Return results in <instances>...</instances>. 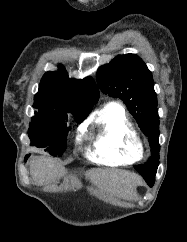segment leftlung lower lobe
Returning <instances> with one entry per match:
<instances>
[{
  "label": "left lung lower lobe",
  "instance_id": "obj_1",
  "mask_svg": "<svg viewBox=\"0 0 187 242\" xmlns=\"http://www.w3.org/2000/svg\"><path fill=\"white\" fill-rule=\"evenodd\" d=\"M144 179L146 180L147 184L152 187L155 181V176H145Z\"/></svg>",
  "mask_w": 187,
  "mask_h": 242
}]
</instances>
